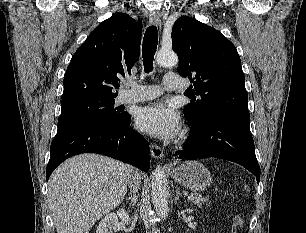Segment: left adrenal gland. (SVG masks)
Wrapping results in <instances>:
<instances>
[{
	"label": "left adrenal gland",
	"instance_id": "left-adrenal-gland-1",
	"mask_svg": "<svg viewBox=\"0 0 306 233\" xmlns=\"http://www.w3.org/2000/svg\"><path fill=\"white\" fill-rule=\"evenodd\" d=\"M181 197V193L178 187H176V196H175V202H177Z\"/></svg>",
	"mask_w": 306,
	"mask_h": 233
}]
</instances>
